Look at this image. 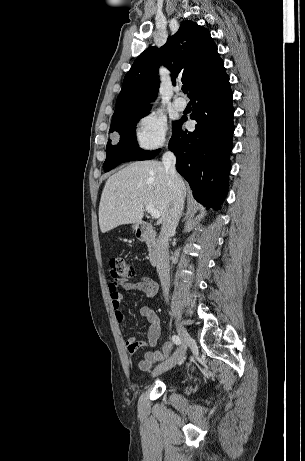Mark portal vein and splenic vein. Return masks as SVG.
I'll list each match as a JSON object with an SVG mask.
<instances>
[{
	"label": "portal vein and splenic vein",
	"instance_id": "obj_1",
	"mask_svg": "<svg viewBox=\"0 0 305 461\" xmlns=\"http://www.w3.org/2000/svg\"><path fill=\"white\" fill-rule=\"evenodd\" d=\"M145 209L153 218L160 217V212L157 209H155L151 204H147L145 206Z\"/></svg>",
	"mask_w": 305,
	"mask_h": 461
}]
</instances>
